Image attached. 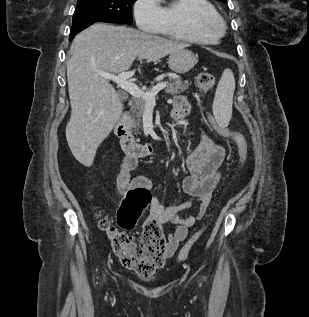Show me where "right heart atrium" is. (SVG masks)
<instances>
[{
  "instance_id": "right-heart-atrium-1",
  "label": "right heart atrium",
  "mask_w": 309,
  "mask_h": 317,
  "mask_svg": "<svg viewBox=\"0 0 309 317\" xmlns=\"http://www.w3.org/2000/svg\"><path fill=\"white\" fill-rule=\"evenodd\" d=\"M133 15L137 26L145 32H158L163 25L160 0H135Z\"/></svg>"
}]
</instances>
